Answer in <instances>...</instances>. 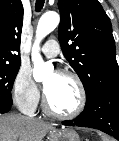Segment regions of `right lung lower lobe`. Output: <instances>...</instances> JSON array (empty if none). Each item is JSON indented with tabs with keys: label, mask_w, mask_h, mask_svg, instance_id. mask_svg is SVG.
<instances>
[{
	"label": "right lung lower lobe",
	"mask_w": 119,
	"mask_h": 141,
	"mask_svg": "<svg viewBox=\"0 0 119 141\" xmlns=\"http://www.w3.org/2000/svg\"><path fill=\"white\" fill-rule=\"evenodd\" d=\"M11 104L0 102V113H6L11 109Z\"/></svg>",
	"instance_id": "1"
}]
</instances>
